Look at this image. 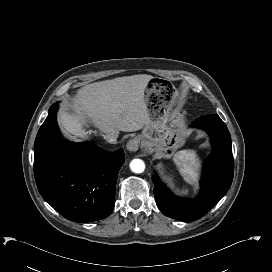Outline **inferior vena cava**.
Segmentation results:
<instances>
[{
    "label": "inferior vena cava",
    "mask_w": 272,
    "mask_h": 272,
    "mask_svg": "<svg viewBox=\"0 0 272 272\" xmlns=\"http://www.w3.org/2000/svg\"><path fill=\"white\" fill-rule=\"evenodd\" d=\"M118 134H119V132H111V133L105 135V139L107 142H109L111 144H116Z\"/></svg>",
    "instance_id": "obj_1"
}]
</instances>
